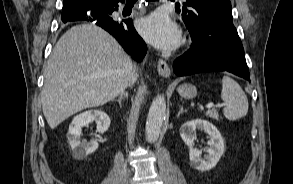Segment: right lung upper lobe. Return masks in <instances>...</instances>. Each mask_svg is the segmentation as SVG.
I'll return each mask as SVG.
<instances>
[{
	"label": "right lung upper lobe",
	"instance_id": "1",
	"mask_svg": "<svg viewBox=\"0 0 293 184\" xmlns=\"http://www.w3.org/2000/svg\"><path fill=\"white\" fill-rule=\"evenodd\" d=\"M112 1L116 0H63L61 19L68 18L86 9L109 4Z\"/></svg>",
	"mask_w": 293,
	"mask_h": 184
}]
</instances>
